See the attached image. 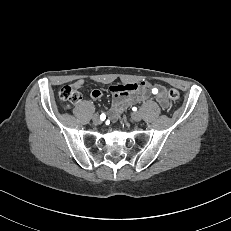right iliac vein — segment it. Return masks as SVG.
I'll return each instance as SVG.
<instances>
[{
	"label": "right iliac vein",
	"mask_w": 231,
	"mask_h": 231,
	"mask_svg": "<svg viewBox=\"0 0 231 231\" xmlns=\"http://www.w3.org/2000/svg\"><path fill=\"white\" fill-rule=\"evenodd\" d=\"M92 120H93L94 124H100L102 122L100 117L98 115H96V114L93 116Z\"/></svg>",
	"instance_id": "1"
}]
</instances>
